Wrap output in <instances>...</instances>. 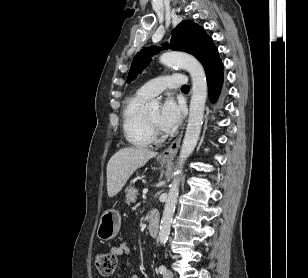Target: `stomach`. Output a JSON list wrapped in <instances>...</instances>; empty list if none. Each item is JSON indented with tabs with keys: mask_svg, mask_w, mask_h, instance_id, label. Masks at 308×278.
I'll use <instances>...</instances> for the list:
<instances>
[{
	"mask_svg": "<svg viewBox=\"0 0 308 278\" xmlns=\"http://www.w3.org/2000/svg\"><path fill=\"white\" fill-rule=\"evenodd\" d=\"M162 166L167 162H160ZM121 226V216L118 211L110 209L105 211L99 221L97 228V236L103 241H107L115 237Z\"/></svg>",
	"mask_w": 308,
	"mask_h": 278,
	"instance_id": "0dacf381",
	"label": "stomach"
}]
</instances>
